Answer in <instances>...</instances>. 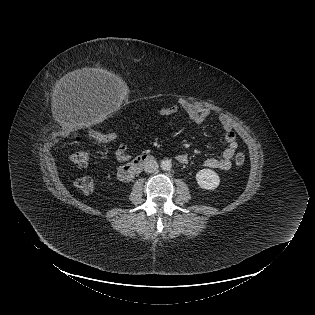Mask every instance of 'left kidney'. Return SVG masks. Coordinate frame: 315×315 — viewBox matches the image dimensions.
I'll return each mask as SVG.
<instances>
[{
    "instance_id": "obj_1",
    "label": "left kidney",
    "mask_w": 315,
    "mask_h": 315,
    "mask_svg": "<svg viewBox=\"0 0 315 315\" xmlns=\"http://www.w3.org/2000/svg\"><path fill=\"white\" fill-rule=\"evenodd\" d=\"M196 181L198 185L207 190H214L220 183L218 174L211 169H202L196 174Z\"/></svg>"
}]
</instances>
